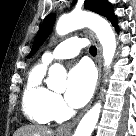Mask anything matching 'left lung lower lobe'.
<instances>
[{
    "label": "left lung lower lobe",
    "instance_id": "0a47b994",
    "mask_svg": "<svg viewBox=\"0 0 136 136\" xmlns=\"http://www.w3.org/2000/svg\"><path fill=\"white\" fill-rule=\"evenodd\" d=\"M116 30L118 31V26L116 25Z\"/></svg>",
    "mask_w": 136,
    "mask_h": 136
}]
</instances>
